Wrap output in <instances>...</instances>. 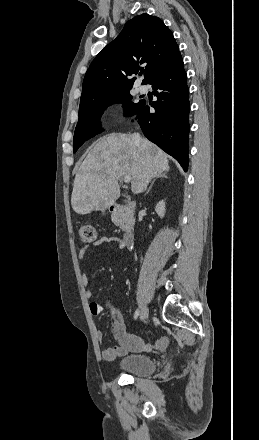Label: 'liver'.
Returning a JSON list of instances; mask_svg holds the SVG:
<instances>
[{"label":"liver","instance_id":"6515ba94","mask_svg":"<svg viewBox=\"0 0 259 440\" xmlns=\"http://www.w3.org/2000/svg\"><path fill=\"white\" fill-rule=\"evenodd\" d=\"M169 171L168 156L154 143L131 134L114 133L98 139L74 179L71 205L81 215L103 211L120 196L118 180L130 175L134 194L152 178Z\"/></svg>","mask_w":259,"mask_h":440}]
</instances>
